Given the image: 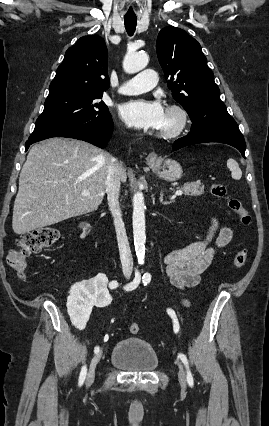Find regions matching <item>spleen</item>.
<instances>
[{"instance_id":"obj_1","label":"spleen","mask_w":269,"mask_h":426,"mask_svg":"<svg viewBox=\"0 0 269 426\" xmlns=\"http://www.w3.org/2000/svg\"><path fill=\"white\" fill-rule=\"evenodd\" d=\"M227 167L231 171V176L234 180H240L242 177V171L239 164L232 158L228 159Z\"/></svg>"}]
</instances>
